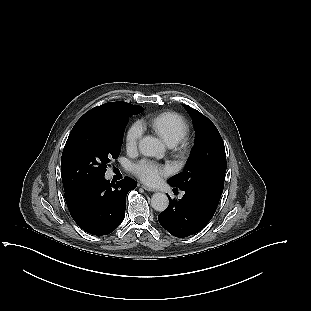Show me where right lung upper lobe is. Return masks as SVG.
I'll return each instance as SVG.
<instances>
[{
    "label": "right lung upper lobe",
    "instance_id": "cb5924a9",
    "mask_svg": "<svg viewBox=\"0 0 311 311\" xmlns=\"http://www.w3.org/2000/svg\"><path fill=\"white\" fill-rule=\"evenodd\" d=\"M106 106H116V107H120V108H123V109L128 110V111H134V112H140L143 109L141 106L137 107V106L129 104L127 102H109V103H105L101 106H97L93 109H98V108H102V107H106ZM93 109H91V110H93Z\"/></svg>",
    "mask_w": 311,
    "mask_h": 311
}]
</instances>
